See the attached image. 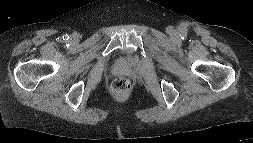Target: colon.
Returning <instances> with one entry per match:
<instances>
[{
	"instance_id": "colon-1",
	"label": "colon",
	"mask_w": 253,
	"mask_h": 143,
	"mask_svg": "<svg viewBox=\"0 0 253 143\" xmlns=\"http://www.w3.org/2000/svg\"><path fill=\"white\" fill-rule=\"evenodd\" d=\"M130 88V82L126 77H117L112 82V90L117 94L125 93Z\"/></svg>"
}]
</instances>
